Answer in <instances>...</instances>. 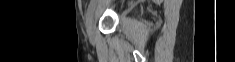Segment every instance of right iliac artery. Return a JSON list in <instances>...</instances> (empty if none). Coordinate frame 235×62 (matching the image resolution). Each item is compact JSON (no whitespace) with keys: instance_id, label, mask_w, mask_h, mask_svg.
<instances>
[{"instance_id":"82829eb1","label":"right iliac artery","mask_w":235,"mask_h":62,"mask_svg":"<svg viewBox=\"0 0 235 62\" xmlns=\"http://www.w3.org/2000/svg\"><path fill=\"white\" fill-rule=\"evenodd\" d=\"M95 5H96V1L95 0H92L88 6V9H87V13H86V26L88 25L90 19H91V16L93 14V11L95 9Z\"/></svg>"}]
</instances>
